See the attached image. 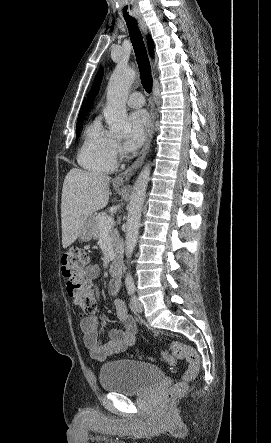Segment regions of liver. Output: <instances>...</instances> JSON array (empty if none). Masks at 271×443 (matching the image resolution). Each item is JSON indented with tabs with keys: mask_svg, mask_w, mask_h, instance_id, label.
<instances>
[{
	"mask_svg": "<svg viewBox=\"0 0 271 443\" xmlns=\"http://www.w3.org/2000/svg\"><path fill=\"white\" fill-rule=\"evenodd\" d=\"M109 176H99L72 168L62 190V245L68 247L79 235L89 216L106 208L110 196Z\"/></svg>",
	"mask_w": 271,
	"mask_h": 443,
	"instance_id": "6515ba94",
	"label": "liver"
}]
</instances>
